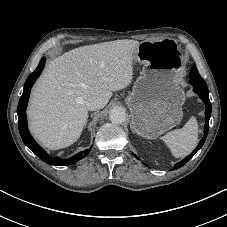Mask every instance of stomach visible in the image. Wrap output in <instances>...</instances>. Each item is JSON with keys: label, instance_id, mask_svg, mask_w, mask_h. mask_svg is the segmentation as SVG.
<instances>
[{"label": "stomach", "instance_id": "0dacf381", "mask_svg": "<svg viewBox=\"0 0 227 227\" xmlns=\"http://www.w3.org/2000/svg\"><path fill=\"white\" fill-rule=\"evenodd\" d=\"M143 65L126 103L132 128L138 135L155 139L180 123L184 92L178 84L184 57L176 47L162 40L143 41L134 53Z\"/></svg>", "mask_w": 227, "mask_h": 227}]
</instances>
